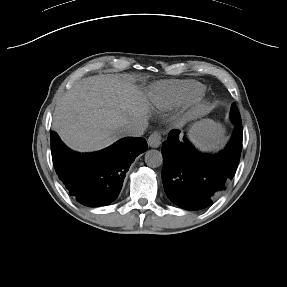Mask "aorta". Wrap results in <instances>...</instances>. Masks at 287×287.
<instances>
[{
  "mask_svg": "<svg viewBox=\"0 0 287 287\" xmlns=\"http://www.w3.org/2000/svg\"><path fill=\"white\" fill-rule=\"evenodd\" d=\"M145 163L151 168H157L163 163L162 153L158 150L151 149L145 154Z\"/></svg>",
  "mask_w": 287,
  "mask_h": 287,
  "instance_id": "762f6f07",
  "label": "aorta"
}]
</instances>
